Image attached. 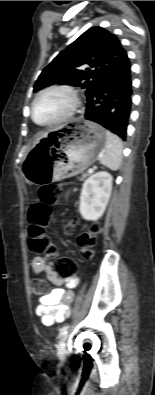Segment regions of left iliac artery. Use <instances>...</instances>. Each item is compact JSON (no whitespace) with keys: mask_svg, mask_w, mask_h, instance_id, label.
Wrapping results in <instances>:
<instances>
[{"mask_svg":"<svg viewBox=\"0 0 155 395\" xmlns=\"http://www.w3.org/2000/svg\"><path fill=\"white\" fill-rule=\"evenodd\" d=\"M68 328H69V325H65V326H63V327L60 329V335H62V334H64V333H66V332H67V330H68Z\"/></svg>","mask_w":155,"mask_h":395,"instance_id":"1","label":"left iliac artery"}]
</instances>
